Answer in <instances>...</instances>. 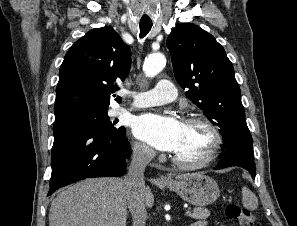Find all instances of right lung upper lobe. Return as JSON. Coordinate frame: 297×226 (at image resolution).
I'll return each instance as SVG.
<instances>
[{"instance_id":"obj_1","label":"right lung upper lobe","mask_w":297,"mask_h":226,"mask_svg":"<svg viewBox=\"0 0 297 226\" xmlns=\"http://www.w3.org/2000/svg\"><path fill=\"white\" fill-rule=\"evenodd\" d=\"M130 67L131 50L112 27L86 33L70 47L60 67L55 120L83 111L107 110L110 94L125 80Z\"/></svg>"}]
</instances>
